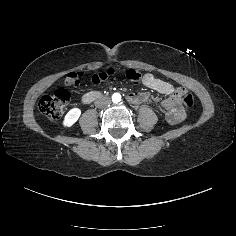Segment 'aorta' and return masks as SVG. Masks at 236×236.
Listing matches in <instances>:
<instances>
[{
	"instance_id": "obj_1",
	"label": "aorta",
	"mask_w": 236,
	"mask_h": 236,
	"mask_svg": "<svg viewBox=\"0 0 236 236\" xmlns=\"http://www.w3.org/2000/svg\"><path fill=\"white\" fill-rule=\"evenodd\" d=\"M112 101L113 102H120L121 101V95L119 93H114L112 95Z\"/></svg>"
}]
</instances>
